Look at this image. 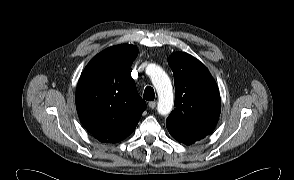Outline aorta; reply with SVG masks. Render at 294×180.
Instances as JSON below:
<instances>
[{"label":"aorta","instance_id":"762f6f07","mask_svg":"<svg viewBox=\"0 0 294 180\" xmlns=\"http://www.w3.org/2000/svg\"><path fill=\"white\" fill-rule=\"evenodd\" d=\"M151 70L150 78L158 94V113L167 115L172 111L174 104L171 80L160 66L151 65Z\"/></svg>","mask_w":294,"mask_h":180}]
</instances>
